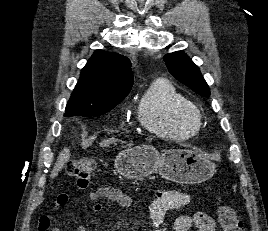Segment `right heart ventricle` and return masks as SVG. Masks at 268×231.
I'll return each mask as SVG.
<instances>
[{"label": "right heart ventricle", "mask_w": 268, "mask_h": 231, "mask_svg": "<svg viewBox=\"0 0 268 231\" xmlns=\"http://www.w3.org/2000/svg\"><path fill=\"white\" fill-rule=\"evenodd\" d=\"M194 105L169 81H154L141 98L137 115L142 126L159 137L186 140L196 134L200 121Z\"/></svg>", "instance_id": "e07e8e85"}]
</instances>
